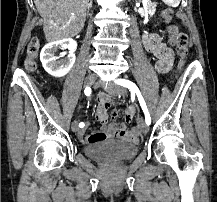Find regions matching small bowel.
<instances>
[{
    "mask_svg": "<svg viewBox=\"0 0 217 202\" xmlns=\"http://www.w3.org/2000/svg\"><path fill=\"white\" fill-rule=\"evenodd\" d=\"M143 43L148 52L158 59L157 69L161 72H166L170 69L173 63L172 50L156 35H145ZM96 118L104 125L100 130H97L87 136L83 132L78 133V138L81 142L97 143L106 138L123 140L131 143H138L141 136V131H129L128 125L132 122L136 108L130 105L124 111V121L119 124H109V116L107 113L112 112L113 102L109 94L102 93L97 98ZM117 111L111 113L112 118H116Z\"/></svg>",
    "mask_w": 217,
    "mask_h": 202,
    "instance_id": "c3829d8e",
    "label": "small bowel"
}]
</instances>
